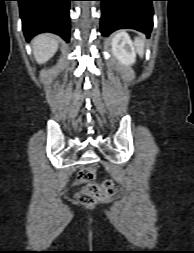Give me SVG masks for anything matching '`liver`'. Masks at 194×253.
Instances as JSON below:
<instances>
[{"label": "liver", "mask_w": 194, "mask_h": 253, "mask_svg": "<svg viewBox=\"0 0 194 253\" xmlns=\"http://www.w3.org/2000/svg\"><path fill=\"white\" fill-rule=\"evenodd\" d=\"M33 54L38 64L46 63L57 51L58 40L52 34H40L33 41Z\"/></svg>", "instance_id": "6515ba94"}]
</instances>
